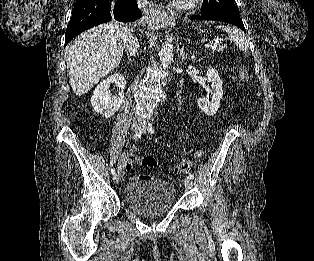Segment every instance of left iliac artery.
<instances>
[{"instance_id":"obj_1","label":"left iliac artery","mask_w":314,"mask_h":261,"mask_svg":"<svg viewBox=\"0 0 314 261\" xmlns=\"http://www.w3.org/2000/svg\"><path fill=\"white\" fill-rule=\"evenodd\" d=\"M148 132L150 133V134H153L154 133V129H153V127H152V123H149L148 124ZM189 177L191 178V179H194V174L193 173H189Z\"/></svg>"}]
</instances>
